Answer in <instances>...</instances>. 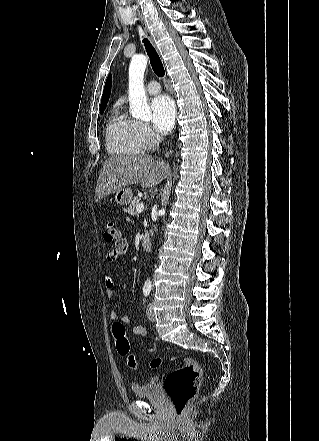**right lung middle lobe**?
Segmentation results:
<instances>
[{"mask_svg":"<svg viewBox=\"0 0 319 441\" xmlns=\"http://www.w3.org/2000/svg\"><path fill=\"white\" fill-rule=\"evenodd\" d=\"M105 107H106V106H102V107L100 108V113H101V114L104 112Z\"/></svg>","mask_w":319,"mask_h":441,"instance_id":"dd1d6c3e","label":"right lung middle lobe"}]
</instances>
